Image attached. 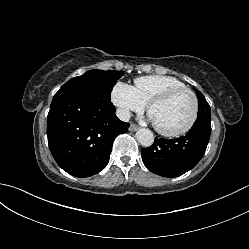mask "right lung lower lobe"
Segmentation results:
<instances>
[{
    "label": "right lung lower lobe",
    "instance_id": "obj_1",
    "mask_svg": "<svg viewBox=\"0 0 249 249\" xmlns=\"http://www.w3.org/2000/svg\"><path fill=\"white\" fill-rule=\"evenodd\" d=\"M115 111L110 100L90 89L65 85L59 89L48 113L47 136L50 151L64 171L88 177L106 167L115 137L130 126Z\"/></svg>",
    "mask_w": 249,
    "mask_h": 249
}]
</instances>
